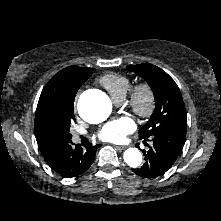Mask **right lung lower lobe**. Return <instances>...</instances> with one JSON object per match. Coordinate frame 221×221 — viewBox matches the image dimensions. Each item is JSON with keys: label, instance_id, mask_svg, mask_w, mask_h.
I'll use <instances>...</instances> for the list:
<instances>
[{"label": "right lung lower lobe", "instance_id": "obj_1", "mask_svg": "<svg viewBox=\"0 0 221 221\" xmlns=\"http://www.w3.org/2000/svg\"><path fill=\"white\" fill-rule=\"evenodd\" d=\"M74 146L69 141L58 142L42 153L48 165L64 178L76 177L85 172L93 163L95 151L100 145Z\"/></svg>", "mask_w": 221, "mask_h": 221}]
</instances>
